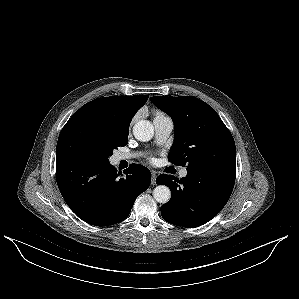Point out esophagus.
<instances>
[{"mask_svg":"<svg viewBox=\"0 0 299 299\" xmlns=\"http://www.w3.org/2000/svg\"><path fill=\"white\" fill-rule=\"evenodd\" d=\"M156 177H157L156 173L154 171H152V180H151L152 185L156 184Z\"/></svg>","mask_w":299,"mask_h":299,"instance_id":"34e87169","label":"esophagus"}]
</instances>
